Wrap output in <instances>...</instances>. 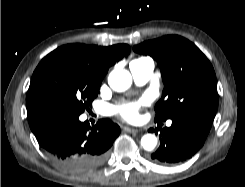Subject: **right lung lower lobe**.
Segmentation results:
<instances>
[{"label": "right lung lower lobe", "instance_id": "right-lung-lower-lobe-1", "mask_svg": "<svg viewBox=\"0 0 245 187\" xmlns=\"http://www.w3.org/2000/svg\"><path fill=\"white\" fill-rule=\"evenodd\" d=\"M78 117L68 112H54L31 122L30 128L52 161L65 170L81 173L105 161L120 128L106 119L91 127Z\"/></svg>", "mask_w": 245, "mask_h": 187}]
</instances>
